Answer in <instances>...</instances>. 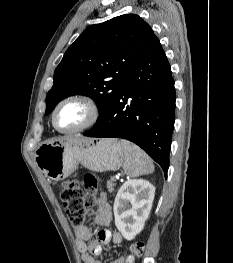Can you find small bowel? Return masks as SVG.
<instances>
[{"mask_svg": "<svg viewBox=\"0 0 233 263\" xmlns=\"http://www.w3.org/2000/svg\"><path fill=\"white\" fill-rule=\"evenodd\" d=\"M97 211L94 217V223L101 226L96 237L92 239V233L86 226L77 229L76 247L79 251L83 263H101L97 256L101 253L102 246L108 243L120 244L122 235L117 231H110L103 228L112 222L113 214L111 205L108 203L104 193H101L97 202ZM112 263H134V258L131 255L121 256Z\"/></svg>", "mask_w": 233, "mask_h": 263, "instance_id": "small-bowel-1", "label": "small bowel"}]
</instances>
